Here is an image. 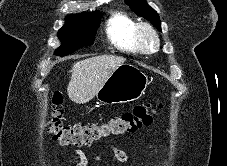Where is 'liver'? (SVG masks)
I'll use <instances>...</instances> for the list:
<instances>
[{
    "instance_id": "1",
    "label": "liver",
    "mask_w": 227,
    "mask_h": 166,
    "mask_svg": "<svg viewBox=\"0 0 227 166\" xmlns=\"http://www.w3.org/2000/svg\"><path fill=\"white\" fill-rule=\"evenodd\" d=\"M125 61L124 57L101 55L74 63L67 87L70 100L77 104L91 101L113 71Z\"/></svg>"
}]
</instances>
